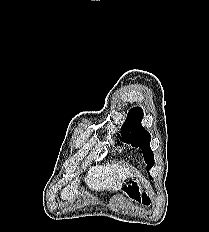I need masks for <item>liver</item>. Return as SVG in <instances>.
<instances>
[{
    "label": "liver",
    "mask_w": 209,
    "mask_h": 232,
    "mask_svg": "<svg viewBox=\"0 0 209 232\" xmlns=\"http://www.w3.org/2000/svg\"><path fill=\"white\" fill-rule=\"evenodd\" d=\"M133 176L129 168L120 166L119 164H107L106 166L90 167L85 182L92 190H118L123 186L124 181ZM75 180L61 191V198L69 200L78 194L77 184Z\"/></svg>",
    "instance_id": "6515ba94"
}]
</instances>
